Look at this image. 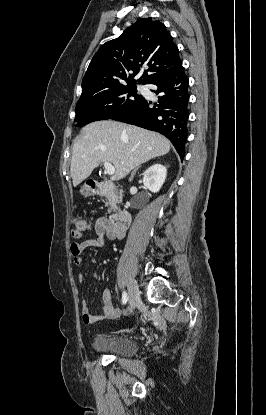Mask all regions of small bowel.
Listing matches in <instances>:
<instances>
[{"label":"small bowel","instance_id":"obj_1","mask_svg":"<svg viewBox=\"0 0 266 415\" xmlns=\"http://www.w3.org/2000/svg\"><path fill=\"white\" fill-rule=\"evenodd\" d=\"M95 232L97 237L94 239H88L80 243H72L70 250L74 258V262L77 265L82 264V253L87 248H100L104 245V237L107 236L109 239H121L125 233L123 230H118L111 226L109 222L101 218L97 220L95 224ZM95 277V275H93ZM85 275L79 274V280L83 281ZM103 308L99 315H92L89 310L87 301L81 302V315L82 320L85 324H93L101 320H112L116 319L121 315V311L113 305L112 295L109 290H104L102 294Z\"/></svg>","mask_w":266,"mask_h":415}]
</instances>
